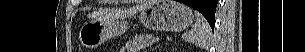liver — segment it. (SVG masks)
<instances>
[{"label": "liver", "mask_w": 305, "mask_h": 52, "mask_svg": "<svg viewBox=\"0 0 305 52\" xmlns=\"http://www.w3.org/2000/svg\"><path fill=\"white\" fill-rule=\"evenodd\" d=\"M151 3V0H147L145 2H143V4L141 5H137L135 7H131L129 9H116V10H112L109 12H105V17L108 20H116V19H123L126 17H129L131 15L136 14L137 12L143 10L144 8H146L149 4ZM94 14H92L93 16ZM91 17V15H90Z\"/></svg>", "instance_id": "obj_1"}]
</instances>
